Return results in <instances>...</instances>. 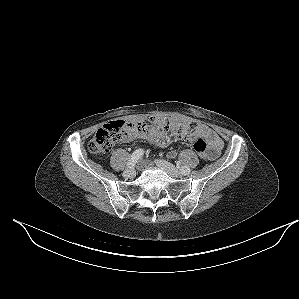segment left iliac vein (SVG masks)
Instances as JSON below:
<instances>
[{"instance_id": "1", "label": "left iliac vein", "mask_w": 299, "mask_h": 299, "mask_svg": "<svg viewBox=\"0 0 299 299\" xmlns=\"http://www.w3.org/2000/svg\"><path fill=\"white\" fill-rule=\"evenodd\" d=\"M156 165L160 167L162 170H164L168 175L171 177H180L182 173L175 168L171 163L165 161V160H156L155 161Z\"/></svg>"}]
</instances>
